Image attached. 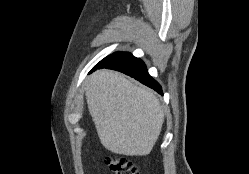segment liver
<instances>
[{
  "label": "liver",
  "instance_id": "6515ba94",
  "mask_svg": "<svg viewBox=\"0 0 249 174\" xmlns=\"http://www.w3.org/2000/svg\"><path fill=\"white\" fill-rule=\"evenodd\" d=\"M89 113L102 145L115 154H149L162 129L164 112L157 97L123 74L100 70L86 88Z\"/></svg>",
  "mask_w": 249,
  "mask_h": 174
}]
</instances>
